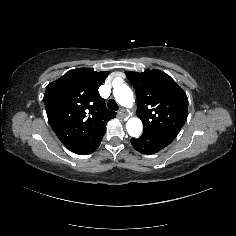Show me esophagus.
I'll return each instance as SVG.
<instances>
[{
	"label": "esophagus",
	"instance_id": "34e87169",
	"mask_svg": "<svg viewBox=\"0 0 236 236\" xmlns=\"http://www.w3.org/2000/svg\"><path fill=\"white\" fill-rule=\"evenodd\" d=\"M120 113H121V115H122L123 117H127V116H128V111L125 110L124 108H122V109L120 110Z\"/></svg>",
	"mask_w": 236,
	"mask_h": 236
}]
</instances>
